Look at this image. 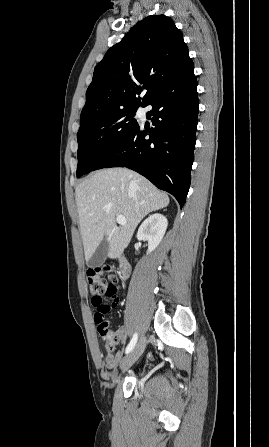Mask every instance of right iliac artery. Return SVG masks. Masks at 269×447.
Returning <instances> with one entry per match:
<instances>
[{
  "mask_svg": "<svg viewBox=\"0 0 269 447\" xmlns=\"http://www.w3.org/2000/svg\"><path fill=\"white\" fill-rule=\"evenodd\" d=\"M137 337H138V335H137V333H135V334L133 335L132 340L130 341V343L128 344V346H127V348H126V354L129 353V352H131L132 349L135 347L136 342H137Z\"/></svg>",
  "mask_w": 269,
  "mask_h": 447,
  "instance_id": "obj_1",
  "label": "right iliac artery"
}]
</instances>
